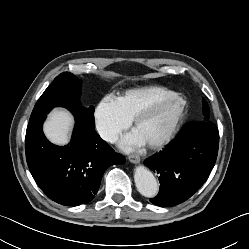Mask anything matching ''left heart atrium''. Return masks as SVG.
Segmentation results:
<instances>
[{"label":"left heart atrium","mask_w":249,"mask_h":249,"mask_svg":"<svg viewBox=\"0 0 249 249\" xmlns=\"http://www.w3.org/2000/svg\"><path fill=\"white\" fill-rule=\"evenodd\" d=\"M147 143L143 138L137 133L136 130H133L131 133L127 134L120 142V147L125 151H130L134 148H141Z\"/></svg>","instance_id":"obj_1"}]
</instances>
